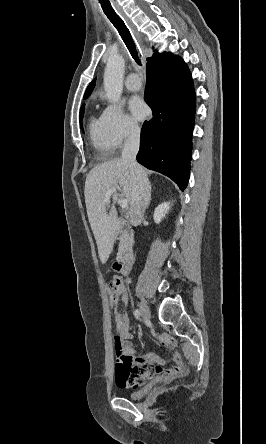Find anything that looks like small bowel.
<instances>
[{
  "instance_id": "1",
  "label": "small bowel",
  "mask_w": 266,
  "mask_h": 444,
  "mask_svg": "<svg viewBox=\"0 0 266 444\" xmlns=\"http://www.w3.org/2000/svg\"><path fill=\"white\" fill-rule=\"evenodd\" d=\"M114 279L120 280L117 277ZM120 298L125 304L129 301L124 285L120 292ZM114 322L116 325L114 337L115 381L118 387L138 388L147 380L158 375H163L165 379L170 380L186 373V368L178 353L169 360H164L155 354L136 357L135 348L130 341L132 335L127 315L120 311L114 312ZM159 341L166 348L170 349L174 346V341L169 336L162 335L159 337Z\"/></svg>"
}]
</instances>
